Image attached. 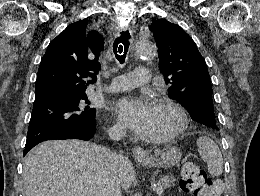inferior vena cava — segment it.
Here are the masks:
<instances>
[{
	"mask_svg": "<svg viewBox=\"0 0 260 196\" xmlns=\"http://www.w3.org/2000/svg\"><path fill=\"white\" fill-rule=\"evenodd\" d=\"M108 136L111 140H121V138H123V132L122 130H115V132H109ZM104 160L106 164H110V168L106 176L105 196H121V188L119 186L117 172L115 170L119 156H117L115 152H108V154H104Z\"/></svg>",
	"mask_w": 260,
	"mask_h": 196,
	"instance_id": "inferior-vena-cava-1",
	"label": "inferior vena cava"
}]
</instances>
